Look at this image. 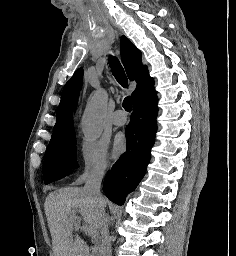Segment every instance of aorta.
<instances>
[{
	"mask_svg": "<svg viewBox=\"0 0 236 256\" xmlns=\"http://www.w3.org/2000/svg\"><path fill=\"white\" fill-rule=\"evenodd\" d=\"M106 97V94L102 90H98L85 109L82 118V131L87 140L99 138L103 131Z\"/></svg>",
	"mask_w": 236,
	"mask_h": 256,
	"instance_id": "762f6f07",
	"label": "aorta"
}]
</instances>
